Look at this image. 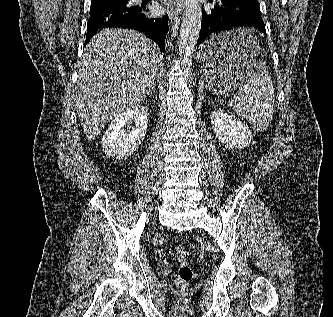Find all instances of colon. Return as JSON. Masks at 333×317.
<instances>
[{"label":"colon","instance_id":"colon-1","mask_svg":"<svg viewBox=\"0 0 333 317\" xmlns=\"http://www.w3.org/2000/svg\"><path fill=\"white\" fill-rule=\"evenodd\" d=\"M176 258L179 262L178 276L176 278V287L184 291L194 277V271L188 262V253L184 246H178L175 250Z\"/></svg>","mask_w":333,"mask_h":317}]
</instances>
